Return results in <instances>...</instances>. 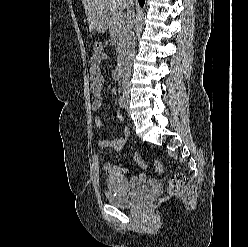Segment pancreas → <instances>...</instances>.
Masks as SVG:
<instances>
[{
    "mask_svg": "<svg viewBox=\"0 0 248 247\" xmlns=\"http://www.w3.org/2000/svg\"><path fill=\"white\" fill-rule=\"evenodd\" d=\"M109 33L111 39L117 46V54L122 55L126 46L127 25L122 15H112L109 22Z\"/></svg>",
    "mask_w": 248,
    "mask_h": 247,
    "instance_id": "pancreas-1",
    "label": "pancreas"
}]
</instances>
